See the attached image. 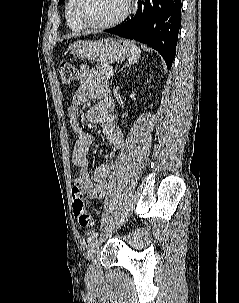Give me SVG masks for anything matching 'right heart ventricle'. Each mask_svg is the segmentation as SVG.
I'll use <instances>...</instances> for the list:
<instances>
[{
  "mask_svg": "<svg viewBox=\"0 0 239 303\" xmlns=\"http://www.w3.org/2000/svg\"><path fill=\"white\" fill-rule=\"evenodd\" d=\"M77 0H67L65 3V18L68 27L73 31H82L86 27H84L76 17L75 14V6Z\"/></svg>",
  "mask_w": 239,
  "mask_h": 303,
  "instance_id": "right-heart-ventricle-1",
  "label": "right heart ventricle"
}]
</instances>
